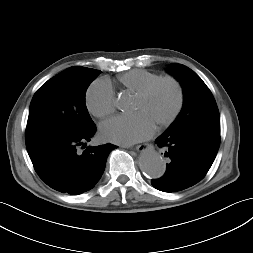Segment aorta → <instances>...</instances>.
<instances>
[{
	"label": "aorta",
	"mask_w": 253,
	"mask_h": 253,
	"mask_svg": "<svg viewBox=\"0 0 253 253\" xmlns=\"http://www.w3.org/2000/svg\"><path fill=\"white\" fill-rule=\"evenodd\" d=\"M129 100L121 97L117 100L116 106L122 111L129 109ZM139 167L141 171L150 178H160L166 170L165 162L162 156L153 148L146 149L139 157Z\"/></svg>",
	"instance_id": "obj_1"
}]
</instances>
